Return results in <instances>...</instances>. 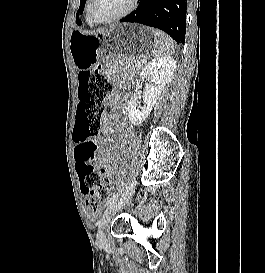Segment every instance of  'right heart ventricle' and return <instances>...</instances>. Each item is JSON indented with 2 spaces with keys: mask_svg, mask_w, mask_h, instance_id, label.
Instances as JSON below:
<instances>
[{
  "mask_svg": "<svg viewBox=\"0 0 265 273\" xmlns=\"http://www.w3.org/2000/svg\"><path fill=\"white\" fill-rule=\"evenodd\" d=\"M86 20H87L88 24H90V25H95V23H93L92 21H90V20L87 18V16H86Z\"/></svg>",
  "mask_w": 265,
  "mask_h": 273,
  "instance_id": "1",
  "label": "right heart ventricle"
}]
</instances>
